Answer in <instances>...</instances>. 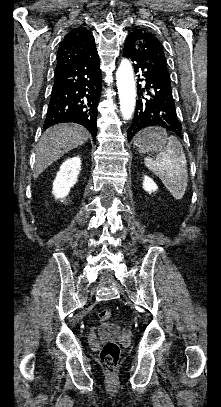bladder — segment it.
<instances>
[{
	"label": "bladder",
	"instance_id": "31cf9c89",
	"mask_svg": "<svg viewBox=\"0 0 221 407\" xmlns=\"http://www.w3.org/2000/svg\"><path fill=\"white\" fill-rule=\"evenodd\" d=\"M98 332L101 335L114 338L119 335L120 327L115 322H107L98 328Z\"/></svg>",
	"mask_w": 221,
	"mask_h": 407
}]
</instances>
